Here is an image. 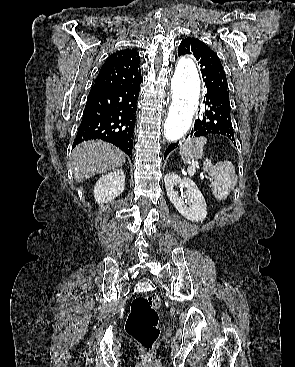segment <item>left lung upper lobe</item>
Instances as JSON below:
<instances>
[{"instance_id": "1", "label": "left lung upper lobe", "mask_w": 295, "mask_h": 367, "mask_svg": "<svg viewBox=\"0 0 295 367\" xmlns=\"http://www.w3.org/2000/svg\"><path fill=\"white\" fill-rule=\"evenodd\" d=\"M178 54H193L196 57L207 89L214 87L228 92L226 74L220 59L204 42L187 37L179 45Z\"/></svg>"}]
</instances>
